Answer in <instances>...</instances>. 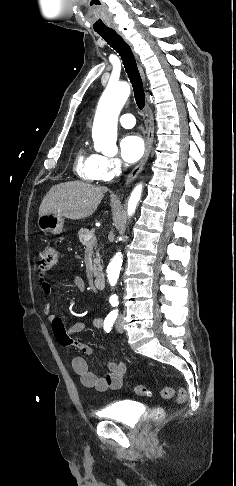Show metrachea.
I'll return each mask as SVG.
<instances>
[{"instance_id": "1", "label": "trachea", "mask_w": 236, "mask_h": 486, "mask_svg": "<svg viewBox=\"0 0 236 486\" xmlns=\"http://www.w3.org/2000/svg\"><path fill=\"white\" fill-rule=\"evenodd\" d=\"M98 34L121 56L124 68L133 87L137 106L142 110L145 105L143 83L130 46L113 29L99 31Z\"/></svg>"}]
</instances>
